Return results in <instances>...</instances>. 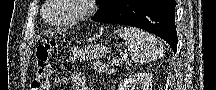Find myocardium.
<instances>
[{"label": "myocardium", "mask_w": 216, "mask_h": 90, "mask_svg": "<svg viewBox=\"0 0 216 90\" xmlns=\"http://www.w3.org/2000/svg\"><path fill=\"white\" fill-rule=\"evenodd\" d=\"M49 2H51V9L50 11L44 12V23L48 28L60 31L80 23L89 16L93 8L90 3H97V0H49ZM62 5H72L75 7V14L66 22H53L50 15H57V12L62 9Z\"/></svg>", "instance_id": "myocardium-1"}]
</instances>
